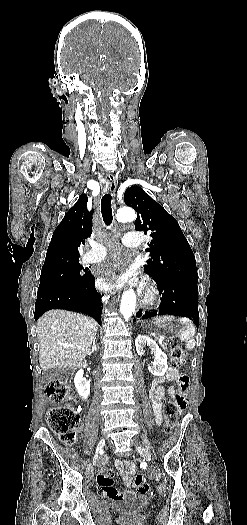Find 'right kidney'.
<instances>
[{"label": "right kidney", "instance_id": "ca27d5eb", "mask_svg": "<svg viewBox=\"0 0 247 525\" xmlns=\"http://www.w3.org/2000/svg\"><path fill=\"white\" fill-rule=\"evenodd\" d=\"M83 375H84L83 369H79V371H77L74 377V385H75V389H77L78 395H80L82 399H88L90 395V383H87Z\"/></svg>", "mask_w": 247, "mask_h": 525}]
</instances>
